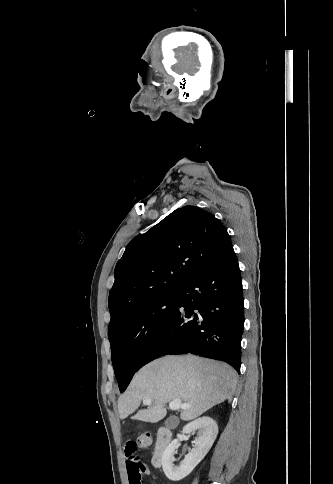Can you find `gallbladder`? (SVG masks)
Listing matches in <instances>:
<instances>
[{
	"instance_id": "gallbladder-1",
	"label": "gallbladder",
	"mask_w": 333,
	"mask_h": 484,
	"mask_svg": "<svg viewBox=\"0 0 333 484\" xmlns=\"http://www.w3.org/2000/svg\"><path fill=\"white\" fill-rule=\"evenodd\" d=\"M175 420H176V417L175 416H169L166 420H165V423L164 425L167 427V428H173L175 426Z\"/></svg>"
}]
</instances>
